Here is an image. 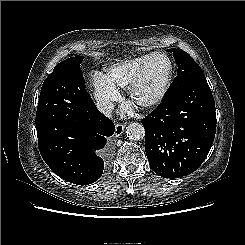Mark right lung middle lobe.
Masks as SVG:
<instances>
[{
  "label": "right lung middle lobe",
  "instance_id": "dd1d6c3e",
  "mask_svg": "<svg viewBox=\"0 0 245 245\" xmlns=\"http://www.w3.org/2000/svg\"><path fill=\"white\" fill-rule=\"evenodd\" d=\"M83 59L84 57H71L55 66L41 88L36 120L88 116L94 102L84 85L80 69Z\"/></svg>",
  "mask_w": 245,
  "mask_h": 245
}]
</instances>
